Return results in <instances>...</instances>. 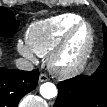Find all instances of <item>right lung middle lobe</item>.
Here are the masks:
<instances>
[{
	"label": "right lung middle lobe",
	"mask_w": 107,
	"mask_h": 107,
	"mask_svg": "<svg viewBox=\"0 0 107 107\" xmlns=\"http://www.w3.org/2000/svg\"><path fill=\"white\" fill-rule=\"evenodd\" d=\"M19 26L14 14L7 8H0V36L12 37Z\"/></svg>",
	"instance_id": "dd1d6c3e"
}]
</instances>
